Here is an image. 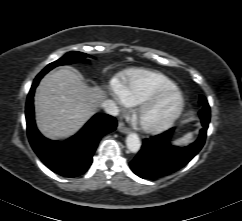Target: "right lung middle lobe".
I'll use <instances>...</instances> for the list:
<instances>
[{
  "label": "right lung middle lobe",
  "mask_w": 242,
  "mask_h": 221,
  "mask_svg": "<svg viewBox=\"0 0 242 221\" xmlns=\"http://www.w3.org/2000/svg\"><path fill=\"white\" fill-rule=\"evenodd\" d=\"M87 56H88L87 54L82 53V52H69V53L65 54L63 57H61L60 59H58L57 61L49 64L40 73L46 74L48 71H50L51 69H53L56 66L75 63L80 60V57L85 58Z\"/></svg>",
  "instance_id": "right-lung-middle-lobe-1"
}]
</instances>
